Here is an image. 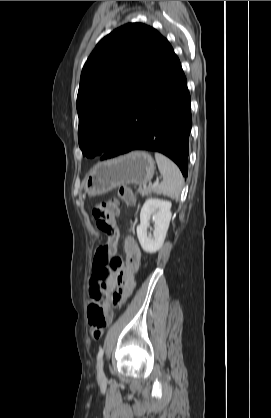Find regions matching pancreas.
<instances>
[{
    "label": "pancreas",
    "instance_id": "pancreas-1",
    "mask_svg": "<svg viewBox=\"0 0 271 418\" xmlns=\"http://www.w3.org/2000/svg\"><path fill=\"white\" fill-rule=\"evenodd\" d=\"M157 187H139L137 189V193H139L142 196H149L152 193H157Z\"/></svg>",
    "mask_w": 271,
    "mask_h": 418
}]
</instances>
